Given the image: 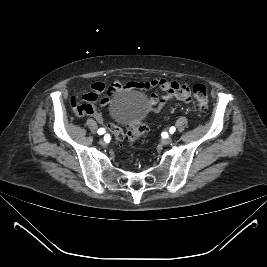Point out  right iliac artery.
Here are the masks:
<instances>
[{"label": "right iliac artery", "mask_w": 267, "mask_h": 267, "mask_svg": "<svg viewBox=\"0 0 267 267\" xmlns=\"http://www.w3.org/2000/svg\"><path fill=\"white\" fill-rule=\"evenodd\" d=\"M105 133V129H103V128H100L99 130H98V134H104Z\"/></svg>", "instance_id": "82829eb1"}]
</instances>
